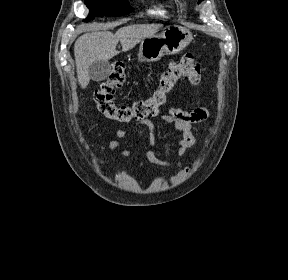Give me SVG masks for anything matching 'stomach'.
<instances>
[{
	"mask_svg": "<svg viewBox=\"0 0 288 280\" xmlns=\"http://www.w3.org/2000/svg\"><path fill=\"white\" fill-rule=\"evenodd\" d=\"M192 41L189 29L173 25L165 28L161 34L145 38L141 41L138 60L155 62L164 55H174L182 51Z\"/></svg>",
	"mask_w": 288,
	"mask_h": 280,
	"instance_id": "1",
	"label": "stomach"
}]
</instances>
